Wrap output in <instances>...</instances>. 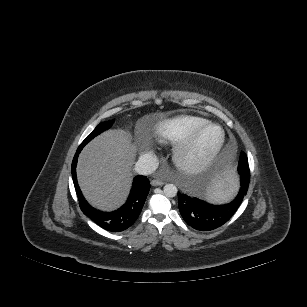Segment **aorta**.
Here are the masks:
<instances>
[{
	"label": "aorta",
	"mask_w": 307,
	"mask_h": 307,
	"mask_svg": "<svg viewBox=\"0 0 307 307\" xmlns=\"http://www.w3.org/2000/svg\"><path fill=\"white\" fill-rule=\"evenodd\" d=\"M163 191L164 195L169 198L175 197L178 192L177 187L174 184H166Z\"/></svg>",
	"instance_id": "762f6f07"
}]
</instances>
